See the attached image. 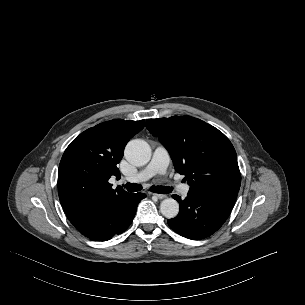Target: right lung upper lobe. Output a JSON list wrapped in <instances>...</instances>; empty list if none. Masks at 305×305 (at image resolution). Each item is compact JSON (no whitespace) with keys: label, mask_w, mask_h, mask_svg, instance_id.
Here are the masks:
<instances>
[{"label":"right lung upper lobe","mask_w":305,"mask_h":305,"mask_svg":"<svg viewBox=\"0 0 305 305\" xmlns=\"http://www.w3.org/2000/svg\"><path fill=\"white\" fill-rule=\"evenodd\" d=\"M145 120H110L77 136L65 150L58 171V193L66 213H76L127 193L108 182L120 175L127 142L144 128Z\"/></svg>","instance_id":"obj_1"}]
</instances>
